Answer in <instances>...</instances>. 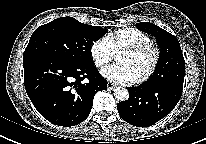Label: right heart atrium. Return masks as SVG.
Returning <instances> with one entry per match:
<instances>
[{
  "instance_id": "obj_1",
  "label": "right heart atrium",
  "mask_w": 206,
  "mask_h": 144,
  "mask_svg": "<svg viewBox=\"0 0 206 144\" xmlns=\"http://www.w3.org/2000/svg\"><path fill=\"white\" fill-rule=\"evenodd\" d=\"M90 55L98 68H103L112 59L113 50L106 37L98 38L92 42Z\"/></svg>"
}]
</instances>
